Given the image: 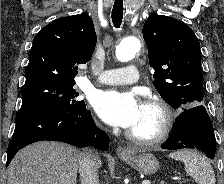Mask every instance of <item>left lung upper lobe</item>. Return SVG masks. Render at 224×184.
I'll return each instance as SVG.
<instances>
[{
	"instance_id": "left-lung-upper-lobe-1",
	"label": "left lung upper lobe",
	"mask_w": 224,
	"mask_h": 184,
	"mask_svg": "<svg viewBox=\"0 0 224 184\" xmlns=\"http://www.w3.org/2000/svg\"><path fill=\"white\" fill-rule=\"evenodd\" d=\"M143 38L161 97L184 110L202 104L200 43L192 29L175 18L153 14L143 26Z\"/></svg>"
}]
</instances>
